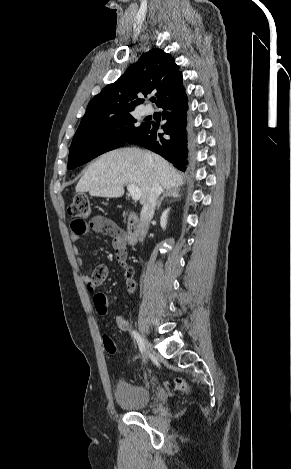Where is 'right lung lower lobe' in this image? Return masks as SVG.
<instances>
[{
  "label": "right lung lower lobe",
  "instance_id": "98d812e1",
  "mask_svg": "<svg viewBox=\"0 0 291 469\" xmlns=\"http://www.w3.org/2000/svg\"><path fill=\"white\" fill-rule=\"evenodd\" d=\"M157 106L163 109L162 119L166 120L161 126L164 132H158V123L148 121L142 128L133 132L126 142L158 153L179 170L185 171L188 165L190 138L187 123L188 98L184 87Z\"/></svg>",
  "mask_w": 291,
  "mask_h": 469
}]
</instances>
